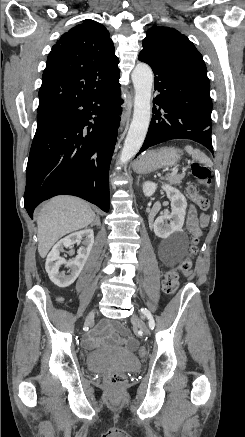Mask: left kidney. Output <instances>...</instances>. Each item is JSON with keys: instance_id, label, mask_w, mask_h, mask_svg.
Returning a JSON list of instances; mask_svg holds the SVG:
<instances>
[{"instance_id": "1", "label": "left kidney", "mask_w": 245, "mask_h": 437, "mask_svg": "<svg viewBox=\"0 0 245 437\" xmlns=\"http://www.w3.org/2000/svg\"><path fill=\"white\" fill-rule=\"evenodd\" d=\"M157 185L153 182L143 184V193L146 197H151L156 191ZM167 197L171 201V213L159 216L154 222V232L159 238L166 239L173 234L182 233L185 220L187 200L184 195L170 185H162Z\"/></svg>"}]
</instances>
